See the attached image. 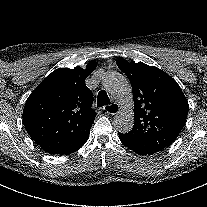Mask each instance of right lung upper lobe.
Segmentation results:
<instances>
[{
  "instance_id": "obj_1",
  "label": "right lung upper lobe",
  "mask_w": 207,
  "mask_h": 207,
  "mask_svg": "<svg viewBox=\"0 0 207 207\" xmlns=\"http://www.w3.org/2000/svg\"><path fill=\"white\" fill-rule=\"evenodd\" d=\"M59 68L30 94L23 109L24 126L30 137L50 154L68 155L87 141L96 117L93 94L85 79L96 68Z\"/></svg>"
}]
</instances>
